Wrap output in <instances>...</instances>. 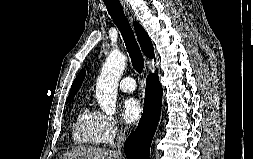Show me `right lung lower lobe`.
Here are the masks:
<instances>
[{
    "mask_svg": "<svg viewBox=\"0 0 253 159\" xmlns=\"http://www.w3.org/2000/svg\"><path fill=\"white\" fill-rule=\"evenodd\" d=\"M162 87L158 77L150 74L146 81L143 114L137 129L126 139L124 151L128 159H149L150 145L160 116Z\"/></svg>",
    "mask_w": 253,
    "mask_h": 159,
    "instance_id": "right-lung-lower-lobe-1",
    "label": "right lung lower lobe"
}]
</instances>
